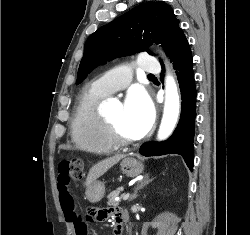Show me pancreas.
Returning a JSON list of instances; mask_svg holds the SVG:
<instances>
[{
	"mask_svg": "<svg viewBox=\"0 0 250 235\" xmlns=\"http://www.w3.org/2000/svg\"><path fill=\"white\" fill-rule=\"evenodd\" d=\"M122 188H118L117 190L111 192L108 196V205L109 206H117L119 203L115 201V198L120 194Z\"/></svg>",
	"mask_w": 250,
	"mask_h": 235,
	"instance_id": "cf45deb5",
	"label": "pancreas"
}]
</instances>
